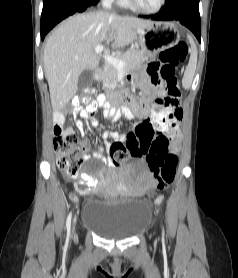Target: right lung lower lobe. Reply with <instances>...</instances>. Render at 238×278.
Returning <instances> with one entry per match:
<instances>
[{"instance_id": "right-lung-lower-lobe-1", "label": "right lung lower lobe", "mask_w": 238, "mask_h": 278, "mask_svg": "<svg viewBox=\"0 0 238 278\" xmlns=\"http://www.w3.org/2000/svg\"><path fill=\"white\" fill-rule=\"evenodd\" d=\"M99 0H43L41 14V39L60 21L68 16L85 11Z\"/></svg>"}]
</instances>
